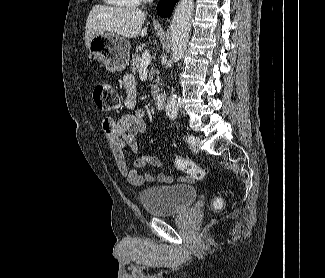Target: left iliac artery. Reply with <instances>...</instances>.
<instances>
[{
	"label": "left iliac artery",
	"instance_id": "left-iliac-artery-1",
	"mask_svg": "<svg viewBox=\"0 0 325 278\" xmlns=\"http://www.w3.org/2000/svg\"><path fill=\"white\" fill-rule=\"evenodd\" d=\"M185 140L189 143H192V142H194L195 138L192 135H188V136H186Z\"/></svg>",
	"mask_w": 325,
	"mask_h": 278
}]
</instances>
